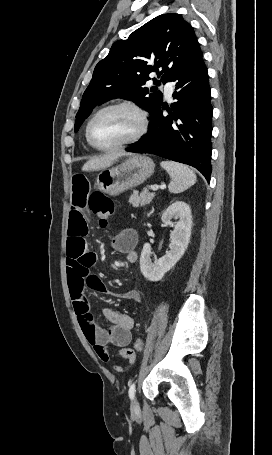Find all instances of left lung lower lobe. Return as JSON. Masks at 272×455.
<instances>
[{"instance_id":"0a47b994","label":"left lung lower lobe","mask_w":272,"mask_h":455,"mask_svg":"<svg viewBox=\"0 0 272 455\" xmlns=\"http://www.w3.org/2000/svg\"><path fill=\"white\" fill-rule=\"evenodd\" d=\"M176 83L171 109L160 104L151 113L149 131L133 146L135 153H151L198 169L210 181L213 107L208 71L202 56L173 74ZM163 109L169 112L163 116Z\"/></svg>"}]
</instances>
